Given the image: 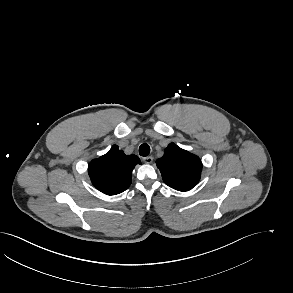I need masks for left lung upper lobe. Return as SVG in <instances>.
Instances as JSON below:
<instances>
[{
    "mask_svg": "<svg viewBox=\"0 0 293 293\" xmlns=\"http://www.w3.org/2000/svg\"><path fill=\"white\" fill-rule=\"evenodd\" d=\"M163 181L173 189L188 191L200 180L202 162L200 158L174 143L165 148L164 155L157 159Z\"/></svg>",
    "mask_w": 293,
    "mask_h": 293,
    "instance_id": "1",
    "label": "left lung upper lobe"
}]
</instances>
